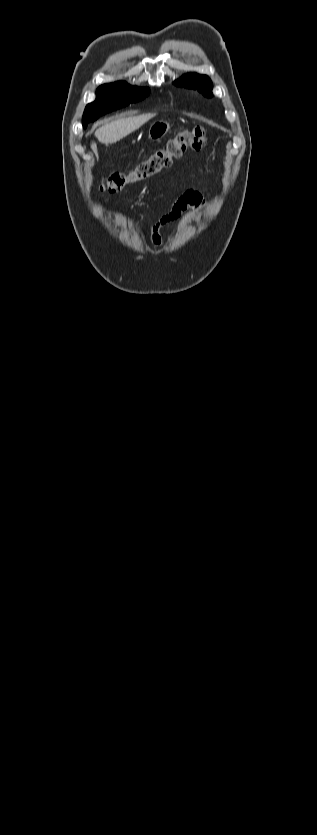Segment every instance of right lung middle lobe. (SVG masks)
<instances>
[{
    "label": "right lung middle lobe",
    "instance_id": "dd1d6c3e",
    "mask_svg": "<svg viewBox=\"0 0 317 835\" xmlns=\"http://www.w3.org/2000/svg\"><path fill=\"white\" fill-rule=\"evenodd\" d=\"M149 93V88L130 86L123 81L101 85L96 91V100L85 108L83 127L108 112L144 99Z\"/></svg>",
    "mask_w": 317,
    "mask_h": 835
}]
</instances>
